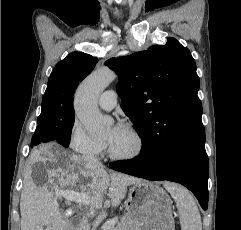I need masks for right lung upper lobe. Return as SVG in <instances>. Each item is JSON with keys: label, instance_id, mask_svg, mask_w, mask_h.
<instances>
[{"label": "right lung upper lobe", "instance_id": "right-lung-upper-lobe-1", "mask_svg": "<svg viewBox=\"0 0 241 230\" xmlns=\"http://www.w3.org/2000/svg\"><path fill=\"white\" fill-rule=\"evenodd\" d=\"M97 62L96 57L83 52H72L58 62L50 74L41 113H50L60 119L74 116V90L92 72Z\"/></svg>", "mask_w": 241, "mask_h": 230}]
</instances>
